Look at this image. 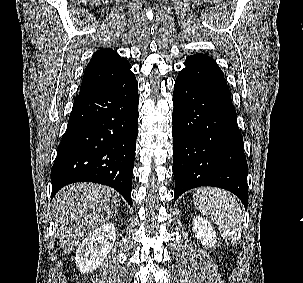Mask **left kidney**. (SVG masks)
<instances>
[{
  "label": "left kidney",
  "mask_w": 303,
  "mask_h": 283,
  "mask_svg": "<svg viewBox=\"0 0 303 283\" xmlns=\"http://www.w3.org/2000/svg\"><path fill=\"white\" fill-rule=\"evenodd\" d=\"M193 231L197 239L207 247H214L217 241L216 233L212 225L202 217H195L193 220Z\"/></svg>",
  "instance_id": "obj_1"
}]
</instances>
